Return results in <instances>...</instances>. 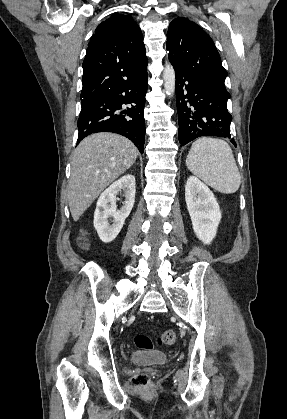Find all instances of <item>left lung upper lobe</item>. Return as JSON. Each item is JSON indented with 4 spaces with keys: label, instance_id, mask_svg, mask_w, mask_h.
Listing matches in <instances>:
<instances>
[{
    "label": "left lung upper lobe",
    "instance_id": "5c2ea615",
    "mask_svg": "<svg viewBox=\"0 0 287 419\" xmlns=\"http://www.w3.org/2000/svg\"><path fill=\"white\" fill-rule=\"evenodd\" d=\"M166 45L176 72L224 83L227 71L219 53L210 36L196 23L183 17L174 19L169 25Z\"/></svg>",
    "mask_w": 287,
    "mask_h": 419
}]
</instances>
